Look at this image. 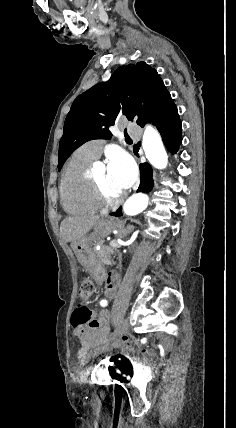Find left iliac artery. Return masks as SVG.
Returning <instances> with one entry per match:
<instances>
[{
    "label": "left iliac artery",
    "instance_id": "left-iliac-artery-1",
    "mask_svg": "<svg viewBox=\"0 0 236 428\" xmlns=\"http://www.w3.org/2000/svg\"><path fill=\"white\" fill-rule=\"evenodd\" d=\"M100 304H101V306H106V305H107V301H106V300H102V301L100 302Z\"/></svg>",
    "mask_w": 236,
    "mask_h": 428
}]
</instances>
